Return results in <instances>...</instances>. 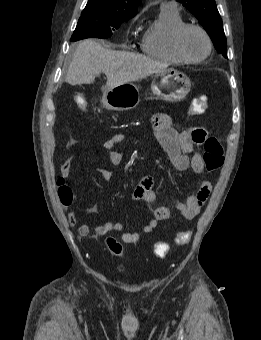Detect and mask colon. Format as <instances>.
I'll return each instance as SVG.
<instances>
[{
    "instance_id": "obj_1",
    "label": "colon",
    "mask_w": 261,
    "mask_h": 340,
    "mask_svg": "<svg viewBox=\"0 0 261 340\" xmlns=\"http://www.w3.org/2000/svg\"><path fill=\"white\" fill-rule=\"evenodd\" d=\"M77 105L81 109L86 108V103L84 100H78ZM207 108L206 97L201 96L199 98H195L192 101L191 106L189 107L190 115H199L203 113ZM203 160L207 171H215L219 169L224 162V150L220 141L215 137H210L205 141L204 144V155ZM58 197L61 203L64 206H69L72 204L74 200V193L68 184L64 182L63 179L58 180ZM191 232L190 231H181L179 232L175 239L174 243L176 245H184L190 241ZM106 246L109 251L118 257L123 255V247L117 242L114 238L106 239ZM172 248V244L167 242H157L154 245V254L158 258H165Z\"/></svg>"
}]
</instances>
